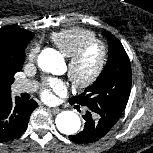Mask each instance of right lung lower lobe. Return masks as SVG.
<instances>
[{"mask_svg":"<svg viewBox=\"0 0 153 153\" xmlns=\"http://www.w3.org/2000/svg\"><path fill=\"white\" fill-rule=\"evenodd\" d=\"M38 104L34 100H22L11 94L0 98V141L20 136L27 128L31 113Z\"/></svg>","mask_w":153,"mask_h":153,"instance_id":"98d812e1","label":"right lung lower lobe"}]
</instances>
